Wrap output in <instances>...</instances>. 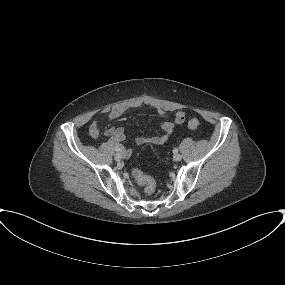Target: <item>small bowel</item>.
Instances as JSON below:
<instances>
[{
	"label": "small bowel",
	"mask_w": 285,
	"mask_h": 285,
	"mask_svg": "<svg viewBox=\"0 0 285 285\" xmlns=\"http://www.w3.org/2000/svg\"><path fill=\"white\" fill-rule=\"evenodd\" d=\"M148 107L155 110L161 118L167 116V111L159 104L153 103L148 100H133L129 102L120 103L112 106L109 109L102 111V115H105L108 120H115L123 116L124 114L137 110L140 108ZM180 114L182 117H180ZM184 121V114L182 112H176L174 116V121H164L161 124L163 133L153 137L139 136L135 139L137 144H147L151 143L154 145H162L166 143L174 131L175 124H181ZM89 135L96 138L100 135V127L97 121H93L89 127ZM104 135L109 138V144L112 146L119 147L121 152L124 151L130 155V149L124 147L122 142L125 140V132L122 127H109L104 131Z\"/></svg>",
	"instance_id": "small-bowel-1"
}]
</instances>
